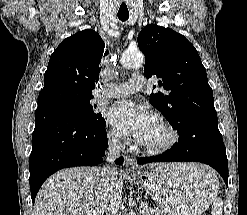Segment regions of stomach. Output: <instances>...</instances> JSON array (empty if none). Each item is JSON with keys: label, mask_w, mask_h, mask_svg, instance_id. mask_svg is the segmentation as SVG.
I'll return each instance as SVG.
<instances>
[{"label": "stomach", "mask_w": 247, "mask_h": 215, "mask_svg": "<svg viewBox=\"0 0 247 215\" xmlns=\"http://www.w3.org/2000/svg\"><path fill=\"white\" fill-rule=\"evenodd\" d=\"M196 166L189 171L184 163L160 164L138 179L165 215H200L215 198L219 184L210 169Z\"/></svg>", "instance_id": "0dacf381"}]
</instances>
